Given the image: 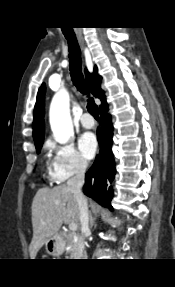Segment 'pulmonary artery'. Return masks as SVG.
<instances>
[{
    "label": "pulmonary artery",
    "instance_id": "e3ab8cb5",
    "mask_svg": "<svg viewBox=\"0 0 175 287\" xmlns=\"http://www.w3.org/2000/svg\"><path fill=\"white\" fill-rule=\"evenodd\" d=\"M80 123L85 128H92L95 125V121H94L93 117L88 113H85L81 116Z\"/></svg>",
    "mask_w": 175,
    "mask_h": 287
}]
</instances>
